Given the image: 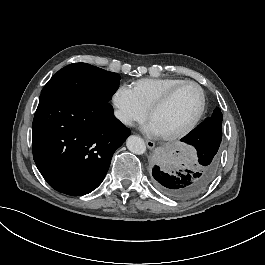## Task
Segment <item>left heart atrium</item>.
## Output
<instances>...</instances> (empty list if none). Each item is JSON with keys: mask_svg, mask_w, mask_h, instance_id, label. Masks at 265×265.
Here are the masks:
<instances>
[{"mask_svg": "<svg viewBox=\"0 0 265 265\" xmlns=\"http://www.w3.org/2000/svg\"><path fill=\"white\" fill-rule=\"evenodd\" d=\"M145 131L153 136H160V133L158 132L155 124L152 121H149L145 127H144Z\"/></svg>", "mask_w": 265, "mask_h": 265, "instance_id": "39dd6f15", "label": "left heart atrium"}]
</instances>
